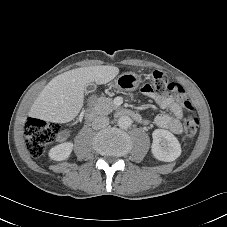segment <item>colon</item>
I'll use <instances>...</instances> for the list:
<instances>
[{"label": "colon", "instance_id": "obj_1", "mask_svg": "<svg viewBox=\"0 0 227 227\" xmlns=\"http://www.w3.org/2000/svg\"><path fill=\"white\" fill-rule=\"evenodd\" d=\"M153 87L159 89V95L166 91L174 92L178 95L182 106L188 111L193 110L191 102L187 99L183 88L170 82L168 77L161 71H154L149 76V81ZM199 129V120L195 116H189L184 122V133L187 138L196 136ZM26 145L29 154L38 158L43 155L47 144L62 134L60 125L45 122L36 118H29L24 129Z\"/></svg>", "mask_w": 227, "mask_h": 227}]
</instances>
